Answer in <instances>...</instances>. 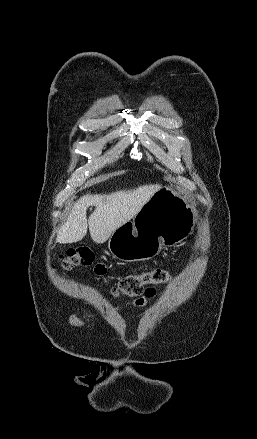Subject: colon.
I'll use <instances>...</instances> for the list:
<instances>
[{
  "instance_id": "5ec220e1",
  "label": "colon",
  "mask_w": 257,
  "mask_h": 439,
  "mask_svg": "<svg viewBox=\"0 0 257 439\" xmlns=\"http://www.w3.org/2000/svg\"><path fill=\"white\" fill-rule=\"evenodd\" d=\"M59 260L64 270H70L75 266L91 264L94 260V254L89 248L83 247L60 255ZM169 279V272L163 269H155L143 274H127L119 280L111 293L114 297L140 296L144 292V285L164 284Z\"/></svg>"
}]
</instances>
